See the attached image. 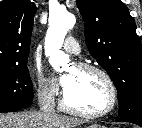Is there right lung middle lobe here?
I'll list each match as a JSON object with an SVG mask.
<instances>
[{
  "mask_svg": "<svg viewBox=\"0 0 142 128\" xmlns=\"http://www.w3.org/2000/svg\"><path fill=\"white\" fill-rule=\"evenodd\" d=\"M33 102L27 64L0 68V106L29 107Z\"/></svg>",
  "mask_w": 142,
  "mask_h": 128,
  "instance_id": "1",
  "label": "right lung middle lobe"
}]
</instances>
